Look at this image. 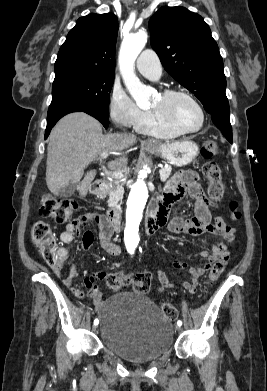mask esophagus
<instances>
[{"mask_svg":"<svg viewBox=\"0 0 267 391\" xmlns=\"http://www.w3.org/2000/svg\"><path fill=\"white\" fill-rule=\"evenodd\" d=\"M144 144L147 145V146H152V145H154V143H153L151 140H145V141H144Z\"/></svg>","mask_w":267,"mask_h":391,"instance_id":"obj_1","label":"esophagus"}]
</instances>
